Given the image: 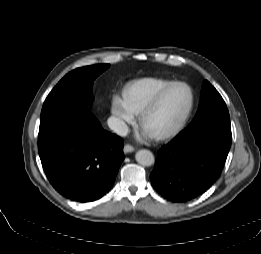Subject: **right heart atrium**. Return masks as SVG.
Segmentation results:
<instances>
[{
    "mask_svg": "<svg viewBox=\"0 0 261 254\" xmlns=\"http://www.w3.org/2000/svg\"><path fill=\"white\" fill-rule=\"evenodd\" d=\"M112 114L119 131H125L128 124L135 120L136 114L131 109L126 95H116L112 102Z\"/></svg>",
    "mask_w": 261,
    "mask_h": 254,
    "instance_id": "obj_1",
    "label": "right heart atrium"
}]
</instances>
